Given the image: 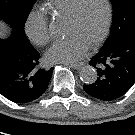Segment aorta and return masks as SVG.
<instances>
[{"label":"aorta","mask_w":135,"mask_h":135,"mask_svg":"<svg viewBox=\"0 0 135 135\" xmlns=\"http://www.w3.org/2000/svg\"><path fill=\"white\" fill-rule=\"evenodd\" d=\"M80 78L84 83L92 84L97 80V71L92 66L86 65L80 69Z\"/></svg>","instance_id":"1"}]
</instances>
